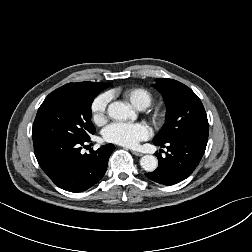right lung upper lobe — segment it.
Masks as SVG:
<instances>
[{"label": "right lung upper lobe", "mask_w": 252, "mask_h": 252, "mask_svg": "<svg viewBox=\"0 0 252 252\" xmlns=\"http://www.w3.org/2000/svg\"><path fill=\"white\" fill-rule=\"evenodd\" d=\"M64 86L73 87L84 91L100 93L102 90H104L110 85L109 83L79 82V83H68Z\"/></svg>", "instance_id": "1"}]
</instances>
